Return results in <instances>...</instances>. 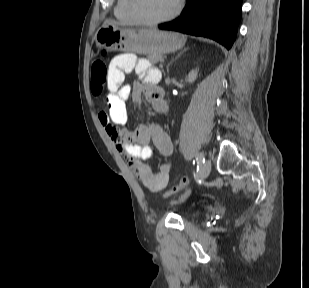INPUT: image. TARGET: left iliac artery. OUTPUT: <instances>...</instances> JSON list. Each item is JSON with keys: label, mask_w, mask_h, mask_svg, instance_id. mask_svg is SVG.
<instances>
[{"label": "left iliac artery", "mask_w": 309, "mask_h": 288, "mask_svg": "<svg viewBox=\"0 0 309 288\" xmlns=\"http://www.w3.org/2000/svg\"><path fill=\"white\" fill-rule=\"evenodd\" d=\"M196 161L197 163H204L205 162V157L203 153H199L196 155ZM183 198V197H182Z\"/></svg>", "instance_id": "1"}]
</instances>
